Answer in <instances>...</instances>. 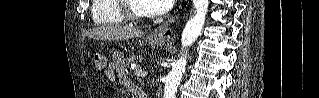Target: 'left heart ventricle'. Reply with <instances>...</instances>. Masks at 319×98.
Masks as SVG:
<instances>
[{"instance_id": "b2bd125f", "label": "left heart ventricle", "mask_w": 319, "mask_h": 98, "mask_svg": "<svg viewBox=\"0 0 319 98\" xmlns=\"http://www.w3.org/2000/svg\"><path fill=\"white\" fill-rule=\"evenodd\" d=\"M131 7H132V10L136 13H145L146 12V10L144 9V7L142 5V2L139 0L131 1Z\"/></svg>"}]
</instances>
